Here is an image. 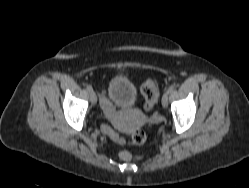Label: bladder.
Masks as SVG:
<instances>
[{
	"label": "bladder",
	"mask_w": 249,
	"mask_h": 188,
	"mask_svg": "<svg viewBox=\"0 0 249 188\" xmlns=\"http://www.w3.org/2000/svg\"><path fill=\"white\" fill-rule=\"evenodd\" d=\"M137 86L127 76L118 74L109 84L110 99L121 108H131L137 104Z\"/></svg>",
	"instance_id": "obj_1"
}]
</instances>
